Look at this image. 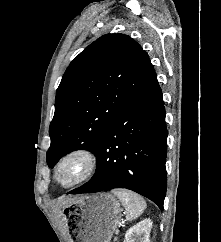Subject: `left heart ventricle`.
<instances>
[{
  "mask_svg": "<svg viewBox=\"0 0 221 242\" xmlns=\"http://www.w3.org/2000/svg\"><path fill=\"white\" fill-rule=\"evenodd\" d=\"M78 170V166L74 162L68 163L62 170L60 174V179L62 182L67 183L70 182L76 175Z\"/></svg>",
  "mask_w": 221,
  "mask_h": 242,
  "instance_id": "b2bd125f",
  "label": "left heart ventricle"
}]
</instances>
